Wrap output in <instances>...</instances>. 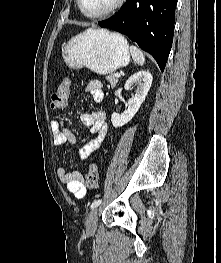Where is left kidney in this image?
Returning <instances> with one entry per match:
<instances>
[{
  "instance_id": "obj_1",
  "label": "left kidney",
  "mask_w": 221,
  "mask_h": 263,
  "mask_svg": "<svg viewBox=\"0 0 221 263\" xmlns=\"http://www.w3.org/2000/svg\"><path fill=\"white\" fill-rule=\"evenodd\" d=\"M152 79V75L148 71L142 70L133 74L126 81L125 89L130 90L133 86H137V89L135 94L128 100V109L123 114H112L111 122L115 128L127 124L134 117L150 90Z\"/></svg>"
}]
</instances>
